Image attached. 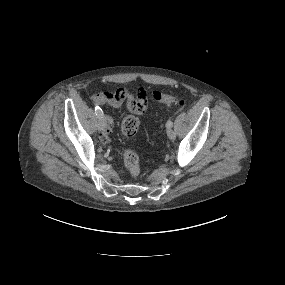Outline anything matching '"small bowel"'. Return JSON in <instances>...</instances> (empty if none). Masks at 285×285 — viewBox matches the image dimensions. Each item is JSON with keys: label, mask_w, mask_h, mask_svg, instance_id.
I'll return each instance as SVG.
<instances>
[{"label": "small bowel", "mask_w": 285, "mask_h": 285, "mask_svg": "<svg viewBox=\"0 0 285 285\" xmlns=\"http://www.w3.org/2000/svg\"><path fill=\"white\" fill-rule=\"evenodd\" d=\"M142 89V93H133L129 89L120 88L114 92L101 91L92 95V100L98 105H109L111 107H120L125 104L128 110L136 115H142L147 109L148 97L146 90ZM106 129L102 133V141L109 142V134L113 128V119L110 116L105 117Z\"/></svg>", "instance_id": "small-bowel-1"}]
</instances>
